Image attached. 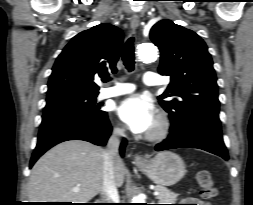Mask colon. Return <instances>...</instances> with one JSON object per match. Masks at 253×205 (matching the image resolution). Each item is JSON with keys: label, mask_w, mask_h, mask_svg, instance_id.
<instances>
[{"label": "colon", "mask_w": 253, "mask_h": 205, "mask_svg": "<svg viewBox=\"0 0 253 205\" xmlns=\"http://www.w3.org/2000/svg\"><path fill=\"white\" fill-rule=\"evenodd\" d=\"M200 195L205 200H211L217 195L214 181L209 171L202 170L197 174Z\"/></svg>", "instance_id": "1"}]
</instances>
